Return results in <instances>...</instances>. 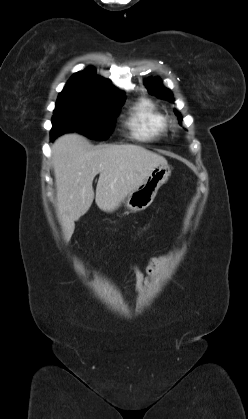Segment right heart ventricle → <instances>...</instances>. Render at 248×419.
<instances>
[{
    "instance_id": "obj_1",
    "label": "right heart ventricle",
    "mask_w": 248,
    "mask_h": 419,
    "mask_svg": "<svg viewBox=\"0 0 248 419\" xmlns=\"http://www.w3.org/2000/svg\"><path fill=\"white\" fill-rule=\"evenodd\" d=\"M131 134L140 140H155L167 130V118L158 106L148 98H141L133 106L128 119Z\"/></svg>"
}]
</instances>
